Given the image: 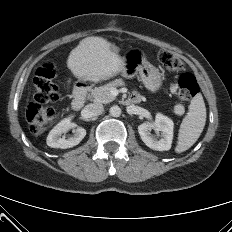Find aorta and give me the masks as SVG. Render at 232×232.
<instances>
[{"label":"aorta","instance_id":"obj_1","mask_svg":"<svg viewBox=\"0 0 232 232\" xmlns=\"http://www.w3.org/2000/svg\"><path fill=\"white\" fill-rule=\"evenodd\" d=\"M109 112H110V115L113 117H119L121 115V109L117 105L112 106Z\"/></svg>","mask_w":232,"mask_h":232}]
</instances>
